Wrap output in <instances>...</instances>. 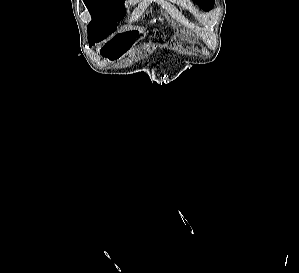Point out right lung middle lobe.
<instances>
[{
  "instance_id": "1",
  "label": "right lung middle lobe",
  "mask_w": 299,
  "mask_h": 273,
  "mask_svg": "<svg viewBox=\"0 0 299 273\" xmlns=\"http://www.w3.org/2000/svg\"><path fill=\"white\" fill-rule=\"evenodd\" d=\"M92 21L88 25V41L99 42L114 32L117 21L125 16V0H83Z\"/></svg>"
}]
</instances>
